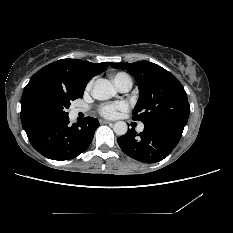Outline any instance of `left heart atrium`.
I'll return each mask as SVG.
<instances>
[{"label": "left heart atrium", "mask_w": 233, "mask_h": 233, "mask_svg": "<svg viewBox=\"0 0 233 233\" xmlns=\"http://www.w3.org/2000/svg\"><path fill=\"white\" fill-rule=\"evenodd\" d=\"M128 105L126 102L119 101L115 103L103 104L99 108V113L105 118H116L120 113L126 111Z\"/></svg>", "instance_id": "39dd6f15"}]
</instances>
